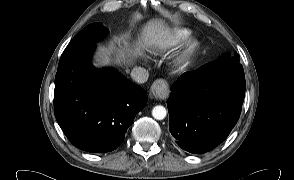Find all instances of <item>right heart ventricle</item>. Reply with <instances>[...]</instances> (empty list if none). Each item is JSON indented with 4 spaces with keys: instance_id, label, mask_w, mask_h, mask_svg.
Returning <instances> with one entry per match:
<instances>
[{
    "instance_id": "right-heart-ventricle-1",
    "label": "right heart ventricle",
    "mask_w": 294,
    "mask_h": 180,
    "mask_svg": "<svg viewBox=\"0 0 294 180\" xmlns=\"http://www.w3.org/2000/svg\"><path fill=\"white\" fill-rule=\"evenodd\" d=\"M180 39L172 37H159L155 39L152 43V49L155 53L163 55L168 53L174 46L179 43Z\"/></svg>"
}]
</instances>
